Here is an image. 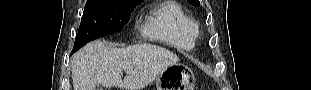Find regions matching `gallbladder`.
<instances>
[{
    "label": "gallbladder",
    "mask_w": 311,
    "mask_h": 90,
    "mask_svg": "<svg viewBox=\"0 0 311 90\" xmlns=\"http://www.w3.org/2000/svg\"><path fill=\"white\" fill-rule=\"evenodd\" d=\"M97 90H101V88H97Z\"/></svg>",
    "instance_id": "1"
}]
</instances>
